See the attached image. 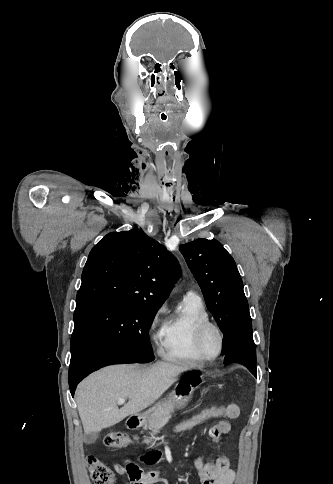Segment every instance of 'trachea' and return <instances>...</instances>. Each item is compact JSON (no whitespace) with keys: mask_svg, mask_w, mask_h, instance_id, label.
Wrapping results in <instances>:
<instances>
[{"mask_svg":"<svg viewBox=\"0 0 333 484\" xmlns=\"http://www.w3.org/2000/svg\"><path fill=\"white\" fill-rule=\"evenodd\" d=\"M161 118H162V120H166V116H165V117H162V116H161Z\"/></svg>","mask_w":333,"mask_h":484,"instance_id":"1","label":"trachea"}]
</instances>
